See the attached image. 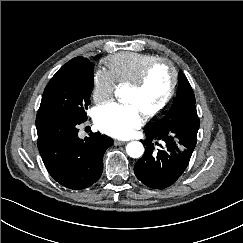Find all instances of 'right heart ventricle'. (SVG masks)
Here are the masks:
<instances>
[{
	"label": "right heart ventricle",
	"mask_w": 243,
	"mask_h": 243,
	"mask_svg": "<svg viewBox=\"0 0 243 243\" xmlns=\"http://www.w3.org/2000/svg\"><path fill=\"white\" fill-rule=\"evenodd\" d=\"M156 58L158 57L153 54L120 52L108 57L105 64L117 84H128Z\"/></svg>",
	"instance_id": "e07e8e85"
}]
</instances>
